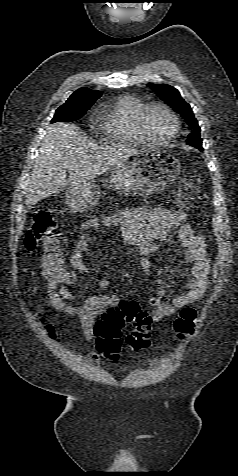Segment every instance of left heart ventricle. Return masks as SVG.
Instances as JSON below:
<instances>
[{
    "instance_id": "obj_1",
    "label": "left heart ventricle",
    "mask_w": 238,
    "mask_h": 476,
    "mask_svg": "<svg viewBox=\"0 0 238 476\" xmlns=\"http://www.w3.org/2000/svg\"><path fill=\"white\" fill-rule=\"evenodd\" d=\"M145 124L148 133L157 140L167 139L173 131V122L161 108L155 107L146 115Z\"/></svg>"
}]
</instances>
